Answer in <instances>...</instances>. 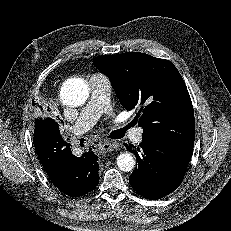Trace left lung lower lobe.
Here are the masks:
<instances>
[{
    "label": "left lung lower lobe",
    "instance_id": "obj_1",
    "mask_svg": "<svg viewBox=\"0 0 231 231\" xmlns=\"http://www.w3.org/2000/svg\"><path fill=\"white\" fill-rule=\"evenodd\" d=\"M138 159L129 177L141 196L157 200L178 188L192 157L193 147L178 148L156 138H143L139 147L125 144Z\"/></svg>",
    "mask_w": 231,
    "mask_h": 231
}]
</instances>
